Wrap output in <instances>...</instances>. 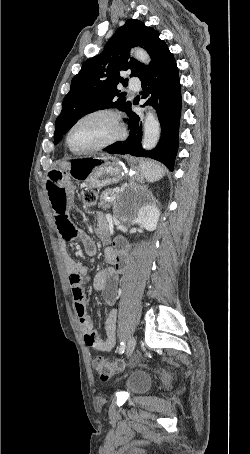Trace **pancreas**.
<instances>
[{"instance_id": "pancreas-1", "label": "pancreas", "mask_w": 250, "mask_h": 454, "mask_svg": "<svg viewBox=\"0 0 250 454\" xmlns=\"http://www.w3.org/2000/svg\"><path fill=\"white\" fill-rule=\"evenodd\" d=\"M113 194H114V192L111 189L105 190L100 196V203L98 204L99 208H102V209L109 208L110 205L113 204V203L108 202L106 200V197L109 196V195H113ZM113 196H116V194H114Z\"/></svg>"}]
</instances>
